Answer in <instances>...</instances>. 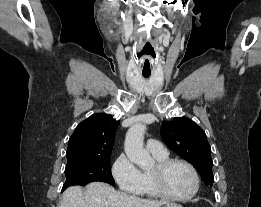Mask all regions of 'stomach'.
<instances>
[{"mask_svg":"<svg viewBox=\"0 0 261 207\" xmlns=\"http://www.w3.org/2000/svg\"><path fill=\"white\" fill-rule=\"evenodd\" d=\"M164 207H182V206L174 202H168L164 205Z\"/></svg>","mask_w":261,"mask_h":207,"instance_id":"1","label":"stomach"}]
</instances>
